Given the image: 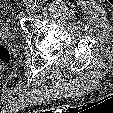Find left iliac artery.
Listing matches in <instances>:
<instances>
[{"label": "left iliac artery", "mask_w": 113, "mask_h": 113, "mask_svg": "<svg viewBox=\"0 0 113 113\" xmlns=\"http://www.w3.org/2000/svg\"><path fill=\"white\" fill-rule=\"evenodd\" d=\"M34 6L36 7V8H40L41 6H42V1L41 0H35V2H34Z\"/></svg>", "instance_id": "1"}]
</instances>
